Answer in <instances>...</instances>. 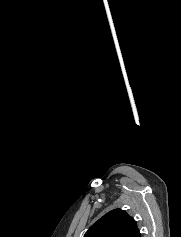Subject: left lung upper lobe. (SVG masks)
Returning <instances> with one entry per match:
<instances>
[{
	"mask_svg": "<svg viewBox=\"0 0 181 237\" xmlns=\"http://www.w3.org/2000/svg\"><path fill=\"white\" fill-rule=\"evenodd\" d=\"M84 237H141L136 221L121 209H114L96 221Z\"/></svg>",
	"mask_w": 181,
	"mask_h": 237,
	"instance_id": "1",
	"label": "left lung upper lobe"
}]
</instances>
